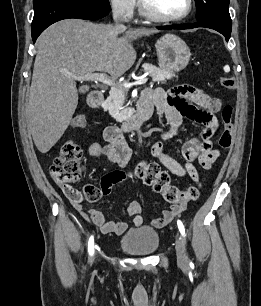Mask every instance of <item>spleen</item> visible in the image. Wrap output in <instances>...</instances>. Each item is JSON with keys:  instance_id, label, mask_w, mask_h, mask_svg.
<instances>
[{"instance_id": "spleen-1", "label": "spleen", "mask_w": 261, "mask_h": 306, "mask_svg": "<svg viewBox=\"0 0 261 306\" xmlns=\"http://www.w3.org/2000/svg\"><path fill=\"white\" fill-rule=\"evenodd\" d=\"M224 70H225V71H229V67H228V66H225V67H224Z\"/></svg>"}]
</instances>
